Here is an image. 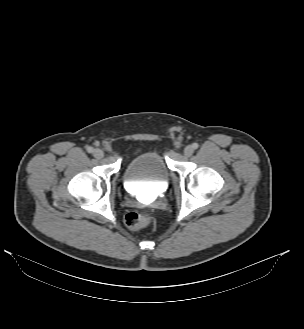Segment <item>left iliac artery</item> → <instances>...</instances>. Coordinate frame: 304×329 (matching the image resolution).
Here are the masks:
<instances>
[{"instance_id": "obj_1", "label": "left iliac artery", "mask_w": 304, "mask_h": 329, "mask_svg": "<svg viewBox=\"0 0 304 329\" xmlns=\"http://www.w3.org/2000/svg\"><path fill=\"white\" fill-rule=\"evenodd\" d=\"M193 149H197L199 147L198 143H193L192 144Z\"/></svg>"}]
</instances>
